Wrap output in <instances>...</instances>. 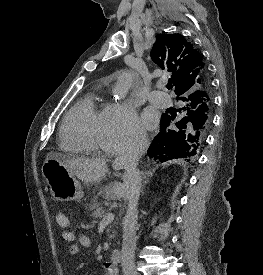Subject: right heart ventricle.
Returning <instances> with one entry per match:
<instances>
[{
	"mask_svg": "<svg viewBox=\"0 0 263 275\" xmlns=\"http://www.w3.org/2000/svg\"><path fill=\"white\" fill-rule=\"evenodd\" d=\"M106 110L107 105H99L93 93L74 104L61 126V148L75 154L96 153L103 149Z\"/></svg>",
	"mask_w": 263,
	"mask_h": 275,
	"instance_id": "right-heart-ventricle-1",
	"label": "right heart ventricle"
}]
</instances>
